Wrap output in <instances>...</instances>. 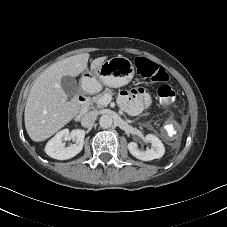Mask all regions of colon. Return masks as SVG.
<instances>
[{"instance_id":"obj_1","label":"colon","mask_w":227,"mask_h":227,"mask_svg":"<svg viewBox=\"0 0 227 227\" xmlns=\"http://www.w3.org/2000/svg\"><path fill=\"white\" fill-rule=\"evenodd\" d=\"M137 73L149 78L154 82L162 83L157 90V95L161 103L165 106H171L175 102L176 94L172 87L167 84L168 74L162 67L146 60L138 58L136 60Z\"/></svg>"}]
</instances>
